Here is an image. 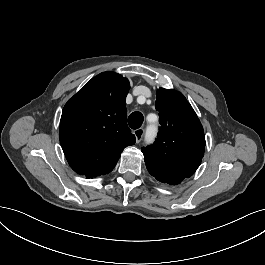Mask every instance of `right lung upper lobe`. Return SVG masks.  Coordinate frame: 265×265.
<instances>
[{
  "label": "right lung upper lobe",
  "instance_id": "cb5924a9",
  "mask_svg": "<svg viewBox=\"0 0 265 265\" xmlns=\"http://www.w3.org/2000/svg\"><path fill=\"white\" fill-rule=\"evenodd\" d=\"M129 88L120 74L102 72L65 104L59 139L78 174L93 178L111 172L123 149L135 143L126 123Z\"/></svg>",
  "mask_w": 265,
  "mask_h": 265
}]
</instances>
